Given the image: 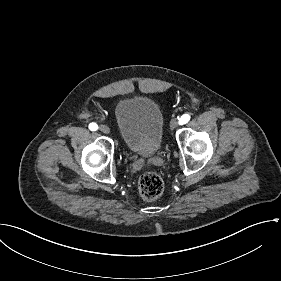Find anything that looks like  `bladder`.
<instances>
[{"label":"bladder","mask_w":281,"mask_h":281,"mask_svg":"<svg viewBox=\"0 0 281 281\" xmlns=\"http://www.w3.org/2000/svg\"><path fill=\"white\" fill-rule=\"evenodd\" d=\"M114 125L128 152L150 158L160 152L164 140V114L148 95L119 98L113 106Z\"/></svg>","instance_id":"1"}]
</instances>
